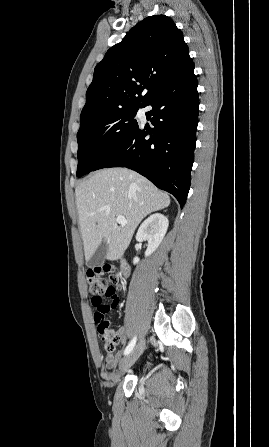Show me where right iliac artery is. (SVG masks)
Returning a JSON list of instances; mask_svg holds the SVG:
<instances>
[{"instance_id":"1","label":"right iliac artery","mask_w":269,"mask_h":447,"mask_svg":"<svg viewBox=\"0 0 269 447\" xmlns=\"http://www.w3.org/2000/svg\"><path fill=\"white\" fill-rule=\"evenodd\" d=\"M135 344H136V336L132 339V341L126 347V349L124 351V355H128L133 350Z\"/></svg>"}]
</instances>
